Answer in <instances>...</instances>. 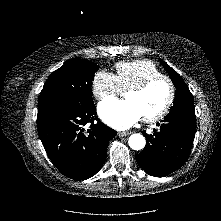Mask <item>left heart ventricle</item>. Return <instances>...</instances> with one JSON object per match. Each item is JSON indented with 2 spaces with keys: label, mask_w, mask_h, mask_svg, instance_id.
I'll use <instances>...</instances> for the list:
<instances>
[{
  "label": "left heart ventricle",
  "mask_w": 221,
  "mask_h": 221,
  "mask_svg": "<svg viewBox=\"0 0 221 221\" xmlns=\"http://www.w3.org/2000/svg\"><path fill=\"white\" fill-rule=\"evenodd\" d=\"M168 96V84L165 81H159L143 93L127 92L125 98L133 102L138 108L141 117H144L159 112L165 105Z\"/></svg>",
  "instance_id": "b2bd125f"
}]
</instances>
